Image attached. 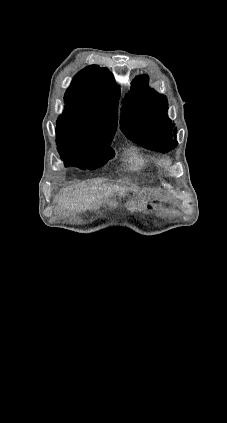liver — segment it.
Segmentation results:
<instances>
[{
  "label": "liver",
  "mask_w": 227,
  "mask_h": 423,
  "mask_svg": "<svg viewBox=\"0 0 227 423\" xmlns=\"http://www.w3.org/2000/svg\"><path fill=\"white\" fill-rule=\"evenodd\" d=\"M129 188L122 186H79V188H71L67 194L60 196L58 206L61 210L82 211L97 210L102 204L105 196H110L116 192L118 196H126Z\"/></svg>",
  "instance_id": "1"
}]
</instances>
